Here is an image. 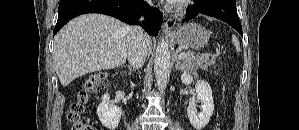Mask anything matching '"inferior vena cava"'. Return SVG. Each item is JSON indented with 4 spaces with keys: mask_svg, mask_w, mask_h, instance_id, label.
<instances>
[{
    "mask_svg": "<svg viewBox=\"0 0 299 130\" xmlns=\"http://www.w3.org/2000/svg\"><path fill=\"white\" fill-rule=\"evenodd\" d=\"M142 20V18L140 19ZM130 43L128 47V60L135 68H140L144 65L147 52L145 49V33L144 30L138 26H130Z\"/></svg>",
    "mask_w": 299,
    "mask_h": 130,
    "instance_id": "1",
    "label": "inferior vena cava"
}]
</instances>
